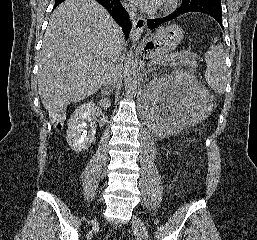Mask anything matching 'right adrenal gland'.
I'll use <instances>...</instances> for the list:
<instances>
[{
    "instance_id": "right-adrenal-gland-1",
    "label": "right adrenal gland",
    "mask_w": 257,
    "mask_h": 240,
    "mask_svg": "<svg viewBox=\"0 0 257 240\" xmlns=\"http://www.w3.org/2000/svg\"><path fill=\"white\" fill-rule=\"evenodd\" d=\"M112 92V91H111ZM101 93H102V95H104V94H109V92L107 91V90H105L104 88L103 89H101Z\"/></svg>"
}]
</instances>
